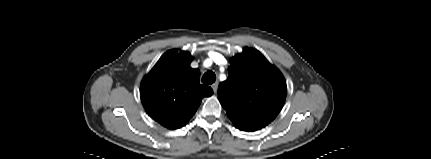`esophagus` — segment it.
<instances>
[{"mask_svg":"<svg viewBox=\"0 0 431 159\" xmlns=\"http://www.w3.org/2000/svg\"><path fill=\"white\" fill-rule=\"evenodd\" d=\"M212 89H213L214 93H216V92H217V89H218V82H215L214 84H212Z\"/></svg>","mask_w":431,"mask_h":159,"instance_id":"1","label":"esophagus"}]
</instances>
